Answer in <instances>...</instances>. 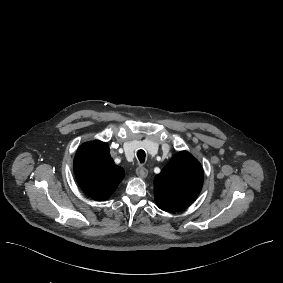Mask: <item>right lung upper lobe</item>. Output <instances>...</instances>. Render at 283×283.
<instances>
[{
    "instance_id": "1",
    "label": "right lung upper lobe",
    "mask_w": 283,
    "mask_h": 283,
    "mask_svg": "<svg viewBox=\"0 0 283 283\" xmlns=\"http://www.w3.org/2000/svg\"><path fill=\"white\" fill-rule=\"evenodd\" d=\"M74 172L81 189L98 201L108 199L124 177V170L114 163L108 144L98 140L78 148Z\"/></svg>"
}]
</instances>
